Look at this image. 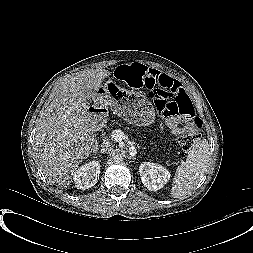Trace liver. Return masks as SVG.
I'll return each instance as SVG.
<instances>
[{
    "label": "liver",
    "mask_w": 253,
    "mask_h": 253,
    "mask_svg": "<svg viewBox=\"0 0 253 253\" xmlns=\"http://www.w3.org/2000/svg\"><path fill=\"white\" fill-rule=\"evenodd\" d=\"M109 75L105 69L77 72L60 84L42 113L34 141L36 158L43 173L61 187H69L70 175L96 148L88 100Z\"/></svg>",
    "instance_id": "1"
}]
</instances>
